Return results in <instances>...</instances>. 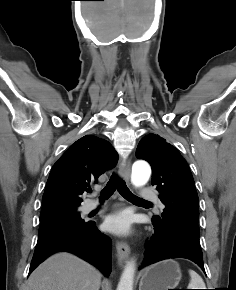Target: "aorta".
<instances>
[{"label":"aorta","mask_w":236,"mask_h":290,"mask_svg":"<svg viewBox=\"0 0 236 290\" xmlns=\"http://www.w3.org/2000/svg\"><path fill=\"white\" fill-rule=\"evenodd\" d=\"M151 175V168L145 162H136L132 167L131 182L136 187L145 185ZM135 262L129 261L121 275L117 290H133Z\"/></svg>","instance_id":"1"}]
</instances>
